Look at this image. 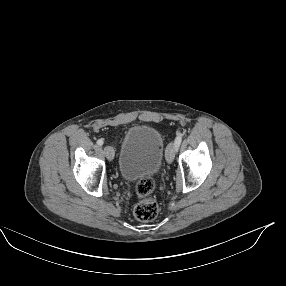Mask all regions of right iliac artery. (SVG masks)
<instances>
[{
	"label": "right iliac artery",
	"mask_w": 286,
	"mask_h": 286,
	"mask_svg": "<svg viewBox=\"0 0 286 286\" xmlns=\"http://www.w3.org/2000/svg\"><path fill=\"white\" fill-rule=\"evenodd\" d=\"M97 144L100 145V146L103 145V144H104L103 139H99V140L97 141Z\"/></svg>",
	"instance_id": "right-iliac-artery-1"
}]
</instances>
